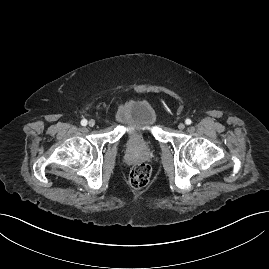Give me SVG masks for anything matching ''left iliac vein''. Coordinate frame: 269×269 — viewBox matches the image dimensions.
Listing matches in <instances>:
<instances>
[{
	"mask_svg": "<svg viewBox=\"0 0 269 269\" xmlns=\"http://www.w3.org/2000/svg\"><path fill=\"white\" fill-rule=\"evenodd\" d=\"M178 128H179L180 130H183V129L185 128V124H184V123H179V124H178Z\"/></svg>",
	"mask_w": 269,
	"mask_h": 269,
	"instance_id": "left-iliac-vein-1",
	"label": "left iliac vein"
}]
</instances>
